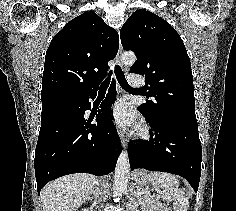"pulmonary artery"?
Here are the masks:
<instances>
[{
  "instance_id": "1",
  "label": "pulmonary artery",
  "mask_w": 236,
  "mask_h": 211,
  "mask_svg": "<svg viewBox=\"0 0 236 211\" xmlns=\"http://www.w3.org/2000/svg\"><path fill=\"white\" fill-rule=\"evenodd\" d=\"M128 82L132 86L140 87V86H143L145 84V79L141 78L138 75L133 73V74H129Z\"/></svg>"
}]
</instances>
